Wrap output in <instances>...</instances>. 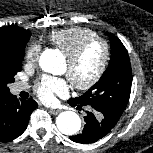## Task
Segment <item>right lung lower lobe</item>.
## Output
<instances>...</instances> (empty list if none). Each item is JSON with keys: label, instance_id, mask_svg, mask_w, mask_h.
<instances>
[{"label": "right lung lower lobe", "instance_id": "right-lung-lower-lobe-1", "mask_svg": "<svg viewBox=\"0 0 153 153\" xmlns=\"http://www.w3.org/2000/svg\"><path fill=\"white\" fill-rule=\"evenodd\" d=\"M33 99L18 100L10 92L0 95V142L20 136L27 128L32 111L37 108Z\"/></svg>", "mask_w": 153, "mask_h": 153}]
</instances>
